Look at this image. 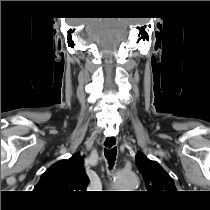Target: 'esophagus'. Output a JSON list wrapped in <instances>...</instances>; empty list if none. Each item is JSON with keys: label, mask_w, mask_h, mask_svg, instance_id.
Instances as JSON below:
<instances>
[{"label": "esophagus", "mask_w": 210, "mask_h": 210, "mask_svg": "<svg viewBox=\"0 0 210 210\" xmlns=\"http://www.w3.org/2000/svg\"><path fill=\"white\" fill-rule=\"evenodd\" d=\"M118 144V139L116 136L107 135L103 139V147L106 149H113Z\"/></svg>", "instance_id": "1"}]
</instances>
